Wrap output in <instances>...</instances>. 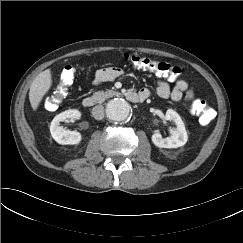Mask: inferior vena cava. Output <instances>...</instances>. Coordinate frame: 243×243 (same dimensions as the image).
Wrapping results in <instances>:
<instances>
[{
  "mask_svg": "<svg viewBox=\"0 0 243 243\" xmlns=\"http://www.w3.org/2000/svg\"><path fill=\"white\" fill-rule=\"evenodd\" d=\"M93 117L96 120H101L104 117V107L102 105H97L92 110Z\"/></svg>",
  "mask_w": 243,
  "mask_h": 243,
  "instance_id": "inferior-vena-cava-1",
  "label": "inferior vena cava"
}]
</instances>
